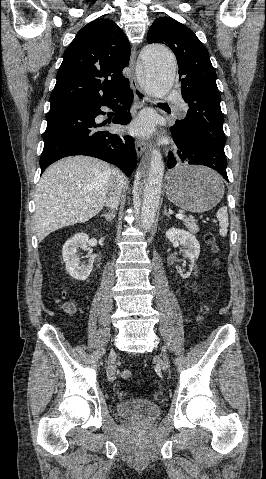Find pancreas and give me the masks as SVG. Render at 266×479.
I'll return each instance as SVG.
<instances>
[{"label": "pancreas", "mask_w": 266, "mask_h": 479, "mask_svg": "<svg viewBox=\"0 0 266 479\" xmlns=\"http://www.w3.org/2000/svg\"><path fill=\"white\" fill-rule=\"evenodd\" d=\"M182 221L184 225L186 226V228L190 230L192 233L196 234L199 231L197 220H195L194 218L185 217L182 219Z\"/></svg>", "instance_id": "1"}]
</instances>
